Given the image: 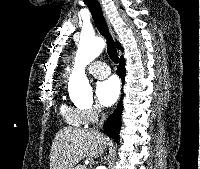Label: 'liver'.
<instances>
[{
  "label": "liver",
  "instance_id": "1",
  "mask_svg": "<svg viewBox=\"0 0 200 169\" xmlns=\"http://www.w3.org/2000/svg\"><path fill=\"white\" fill-rule=\"evenodd\" d=\"M107 141L103 134L94 130L64 127L52 142L50 169H74L82 159L100 156Z\"/></svg>",
  "mask_w": 200,
  "mask_h": 169
}]
</instances>
